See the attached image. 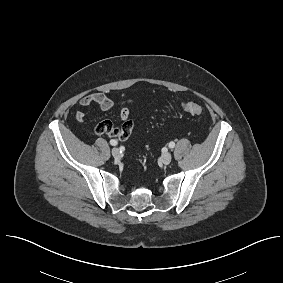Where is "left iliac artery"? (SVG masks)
<instances>
[{
    "label": "left iliac artery",
    "instance_id": "left-iliac-artery-1",
    "mask_svg": "<svg viewBox=\"0 0 283 283\" xmlns=\"http://www.w3.org/2000/svg\"><path fill=\"white\" fill-rule=\"evenodd\" d=\"M175 147V143L174 142H170L169 143V148H174Z\"/></svg>",
    "mask_w": 283,
    "mask_h": 283
}]
</instances>
